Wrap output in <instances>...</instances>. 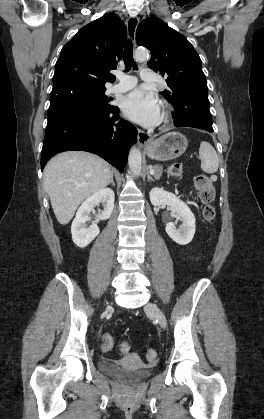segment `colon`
<instances>
[{"mask_svg":"<svg viewBox=\"0 0 264 419\" xmlns=\"http://www.w3.org/2000/svg\"><path fill=\"white\" fill-rule=\"evenodd\" d=\"M183 166L180 163H172L167 167V175L170 177H177L181 175ZM195 187L199 193L201 201L204 203L203 214L207 221H213L216 216L215 208L212 205L215 197V190L213 183L208 176L200 175L195 179ZM114 345L113 337L110 334H105L102 337V348L105 351L112 349ZM123 352H128L130 346L128 343L123 345ZM146 357L149 361H153L156 358V351L154 349H148Z\"/></svg>","mask_w":264,"mask_h":419,"instance_id":"1","label":"colon"}]
</instances>
